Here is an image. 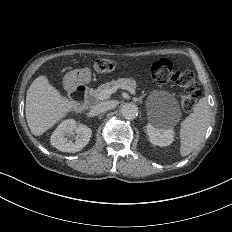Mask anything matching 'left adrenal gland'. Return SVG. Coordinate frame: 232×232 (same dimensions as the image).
<instances>
[{
    "instance_id": "left-adrenal-gland-1",
    "label": "left adrenal gland",
    "mask_w": 232,
    "mask_h": 232,
    "mask_svg": "<svg viewBox=\"0 0 232 232\" xmlns=\"http://www.w3.org/2000/svg\"><path fill=\"white\" fill-rule=\"evenodd\" d=\"M144 97V95H142L141 97H139V102L142 103V98Z\"/></svg>"
}]
</instances>
